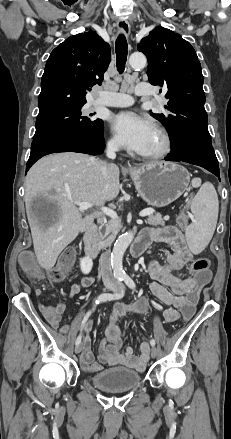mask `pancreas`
Segmentation results:
<instances>
[{"label":"pancreas","mask_w":231,"mask_h":439,"mask_svg":"<svg viewBox=\"0 0 231 439\" xmlns=\"http://www.w3.org/2000/svg\"><path fill=\"white\" fill-rule=\"evenodd\" d=\"M151 226H164L165 220L161 214L150 215L146 221ZM122 224L120 220H108L98 232L97 241L100 248L109 246L121 230Z\"/></svg>","instance_id":"1"}]
</instances>
